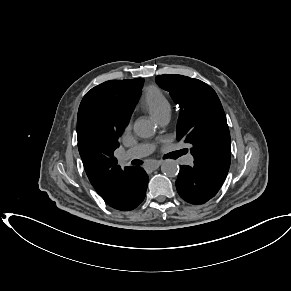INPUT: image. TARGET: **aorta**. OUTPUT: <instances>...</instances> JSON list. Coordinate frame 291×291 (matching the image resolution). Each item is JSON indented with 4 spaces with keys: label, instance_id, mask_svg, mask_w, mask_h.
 I'll use <instances>...</instances> for the list:
<instances>
[{
    "label": "aorta",
    "instance_id": "762f6f07",
    "mask_svg": "<svg viewBox=\"0 0 291 291\" xmlns=\"http://www.w3.org/2000/svg\"><path fill=\"white\" fill-rule=\"evenodd\" d=\"M134 132L142 138H149L155 134L154 124L147 119H138L134 123ZM161 171L168 177H174L179 172V165L173 159L165 160L161 165Z\"/></svg>",
    "mask_w": 291,
    "mask_h": 291
}]
</instances>
